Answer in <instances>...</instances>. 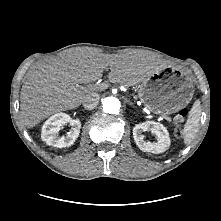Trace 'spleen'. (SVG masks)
<instances>
[{"label":"spleen","instance_id":"spleen-1","mask_svg":"<svg viewBox=\"0 0 221 221\" xmlns=\"http://www.w3.org/2000/svg\"><path fill=\"white\" fill-rule=\"evenodd\" d=\"M201 110L198 104H194L189 113L188 120L186 121L182 130L183 141L186 145H189L196 137L199 130Z\"/></svg>","mask_w":221,"mask_h":221}]
</instances>
